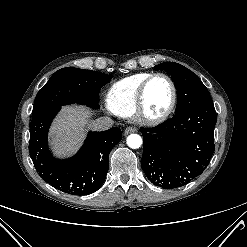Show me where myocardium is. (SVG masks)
<instances>
[{
	"mask_svg": "<svg viewBox=\"0 0 247 247\" xmlns=\"http://www.w3.org/2000/svg\"><path fill=\"white\" fill-rule=\"evenodd\" d=\"M157 77H163L166 80H168V82L170 83L171 89H172V99H171V103L169 107L164 113H162L159 116H148L144 111L146 90L150 82ZM177 97H178V92H177L176 84L169 75L165 73H161V72L152 73L149 77H147L143 81V83L141 84L139 88V91L136 97L133 115L135 119L141 124L148 125V126L158 125L166 121L169 118V116L173 113L176 103H177Z\"/></svg>",
	"mask_w": 247,
	"mask_h": 247,
	"instance_id": "myocardium-1",
	"label": "myocardium"
}]
</instances>
